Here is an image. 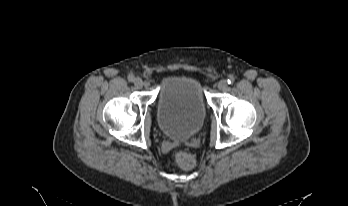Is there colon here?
<instances>
[{"label": "colon", "instance_id": "1", "mask_svg": "<svg viewBox=\"0 0 348 206\" xmlns=\"http://www.w3.org/2000/svg\"><path fill=\"white\" fill-rule=\"evenodd\" d=\"M175 161L179 167L186 170L193 168L195 164L194 158L183 151H179L175 154Z\"/></svg>", "mask_w": 348, "mask_h": 206}]
</instances>
